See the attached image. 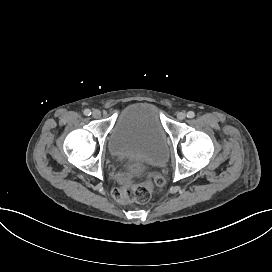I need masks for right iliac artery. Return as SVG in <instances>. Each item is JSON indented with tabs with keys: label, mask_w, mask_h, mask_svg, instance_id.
Returning a JSON list of instances; mask_svg holds the SVG:
<instances>
[{
	"label": "right iliac artery",
	"mask_w": 272,
	"mask_h": 272,
	"mask_svg": "<svg viewBox=\"0 0 272 272\" xmlns=\"http://www.w3.org/2000/svg\"><path fill=\"white\" fill-rule=\"evenodd\" d=\"M84 114H85L86 116H90V115H91V111H90L89 109H85V110H84Z\"/></svg>",
	"instance_id": "right-iliac-artery-1"
}]
</instances>
